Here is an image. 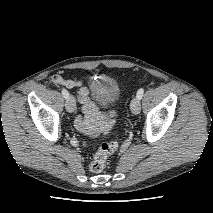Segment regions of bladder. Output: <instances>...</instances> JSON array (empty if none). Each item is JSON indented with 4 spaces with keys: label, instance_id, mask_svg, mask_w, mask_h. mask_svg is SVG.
<instances>
[{
    "label": "bladder",
    "instance_id": "obj_1",
    "mask_svg": "<svg viewBox=\"0 0 213 213\" xmlns=\"http://www.w3.org/2000/svg\"><path fill=\"white\" fill-rule=\"evenodd\" d=\"M90 91L93 98L104 106L114 104L120 97L118 82L105 74L90 80Z\"/></svg>",
    "mask_w": 213,
    "mask_h": 213
}]
</instances>
